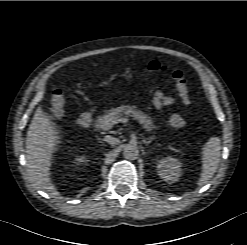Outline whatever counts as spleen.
I'll use <instances>...</instances> for the list:
<instances>
[{"mask_svg":"<svg viewBox=\"0 0 247 245\" xmlns=\"http://www.w3.org/2000/svg\"><path fill=\"white\" fill-rule=\"evenodd\" d=\"M221 141L218 137H212L204 145L202 150V171L198 186L205 185L215 174L220 162Z\"/></svg>","mask_w":247,"mask_h":245,"instance_id":"3e777b00","label":"spleen"}]
</instances>
